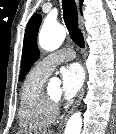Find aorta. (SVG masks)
I'll list each match as a JSON object with an SVG mask.
<instances>
[{"mask_svg": "<svg viewBox=\"0 0 116 134\" xmlns=\"http://www.w3.org/2000/svg\"><path fill=\"white\" fill-rule=\"evenodd\" d=\"M66 37L65 28L57 22H45L39 34V45L47 51L56 50L61 46ZM59 84L58 80L53 81ZM82 117L80 112L74 113L68 120L64 134H80Z\"/></svg>", "mask_w": 116, "mask_h": 134, "instance_id": "aorta-1", "label": "aorta"}]
</instances>
